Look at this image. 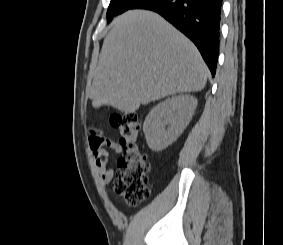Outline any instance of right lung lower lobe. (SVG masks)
Here are the masks:
<instances>
[{"instance_id":"98d812e1","label":"right lung lower lobe","mask_w":283,"mask_h":245,"mask_svg":"<svg viewBox=\"0 0 283 245\" xmlns=\"http://www.w3.org/2000/svg\"><path fill=\"white\" fill-rule=\"evenodd\" d=\"M222 0H141L131 9H148L162 15L189 37L215 75Z\"/></svg>"}]
</instances>
